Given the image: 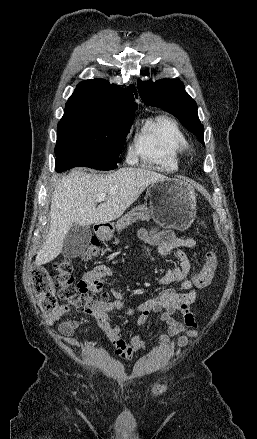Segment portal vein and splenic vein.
I'll return each mask as SVG.
<instances>
[{
	"label": "portal vein and splenic vein",
	"instance_id": "portal-vein-and-splenic-vein-1",
	"mask_svg": "<svg viewBox=\"0 0 257 439\" xmlns=\"http://www.w3.org/2000/svg\"><path fill=\"white\" fill-rule=\"evenodd\" d=\"M105 199H106V194H99L97 199H96V202H102Z\"/></svg>",
	"mask_w": 257,
	"mask_h": 439
}]
</instances>
